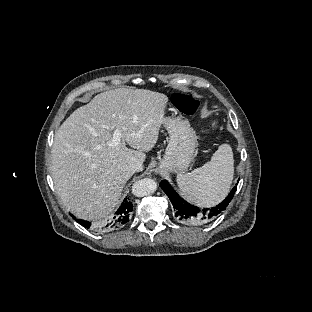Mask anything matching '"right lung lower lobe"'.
Returning <instances> with one entry per match:
<instances>
[{
    "instance_id": "right-lung-lower-lobe-1",
    "label": "right lung lower lobe",
    "mask_w": 312,
    "mask_h": 312,
    "mask_svg": "<svg viewBox=\"0 0 312 312\" xmlns=\"http://www.w3.org/2000/svg\"><path fill=\"white\" fill-rule=\"evenodd\" d=\"M133 209L132 203L129 201L128 198L124 199L122 205L119 207L118 211L115 213V216L113 217V220L110 224L106 225V228L109 227V229L117 228L126 222L129 221V214ZM74 220H76L79 224L84 226L85 228H89L91 226V222L83 221L76 219L74 216H72Z\"/></svg>"
}]
</instances>
